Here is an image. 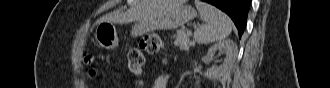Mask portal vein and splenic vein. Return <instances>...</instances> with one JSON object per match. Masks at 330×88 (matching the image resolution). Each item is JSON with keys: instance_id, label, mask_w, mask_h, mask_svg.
<instances>
[{"instance_id": "18ae733b", "label": "portal vein and splenic vein", "mask_w": 330, "mask_h": 88, "mask_svg": "<svg viewBox=\"0 0 330 88\" xmlns=\"http://www.w3.org/2000/svg\"><path fill=\"white\" fill-rule=\"evenodd\" d=\"M188 33L191 35V32L190 31H188Z\"/></svg>"}]
</instances>
